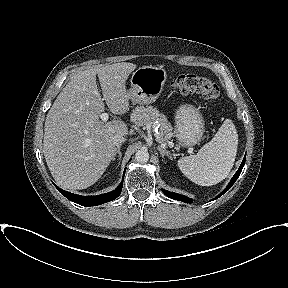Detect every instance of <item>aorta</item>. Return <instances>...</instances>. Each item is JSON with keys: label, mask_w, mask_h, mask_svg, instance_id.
Here are the masks:
<instances>
[{"label": "aorta", "mask_w": 288, "mask_h": 288, "mask_svg": "<svg viewBox=\"0 0 288 288\" xmlns=\"http://www.w3.org/2000/svg\"><path fill=\"white\" fill-rule=\"evenodd\" d=\"M135 159L139 163H146L149 160V153L145 149L138 150L135 154Z\"/></svg>", "instance_id": "762f6f07"}]
</instances>
